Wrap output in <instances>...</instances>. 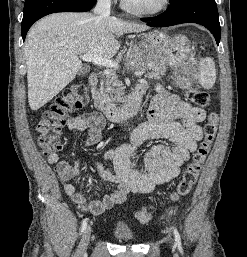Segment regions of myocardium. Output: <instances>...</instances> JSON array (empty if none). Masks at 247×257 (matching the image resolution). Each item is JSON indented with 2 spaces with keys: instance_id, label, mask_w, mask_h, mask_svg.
I'll return each instance as SVG.
<instances>
[{
  "instance_id": "obj_1",
  "label": "myocardium",
  "mask_w": 247,
  "mask_h": 257,
  "mask_svg": "<svg viewBox=\"0 0 247 257\" xmlns=\"http://www.w3.org/2000/svg\"><path fill=\"white\" fill-rule=\"evenodd\" d=\"M170 5V0H161L154 8H139L131 5L126 0H121V6L129 13L144 17H154L165 12Z\"/></svg>"
}]
</instances>
